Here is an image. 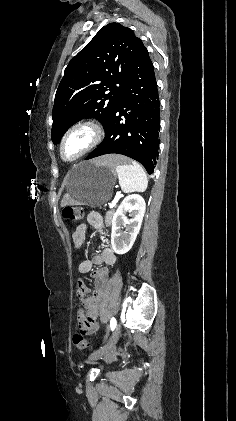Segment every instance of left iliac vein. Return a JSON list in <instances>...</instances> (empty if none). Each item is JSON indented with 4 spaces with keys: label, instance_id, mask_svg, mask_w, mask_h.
Segmentation results:
<instances>
[{
    "label": "left iliac vein",
    "instance_id": "left-iliac-vein-1",
    "mask_svg": "<svg viewBox=\"0 0 236 421\" xmlns=\"http://www.w3.org/2000/svg\"><path fill=\"white\" fill-rule=\"evenodd\" d=\"M120 331H121V327L120 324H117L112 335L110 336V338L108 339V341L106 342L105 346L102 347L101 349L93 352L92 354H90L88 356L89 360H96L99 359L103 354L109 352L114 345L116 344L119 335H120Z\"/></svg>",
    "mask_w": 236,
    "mask_h": 421
}]
</instances>
